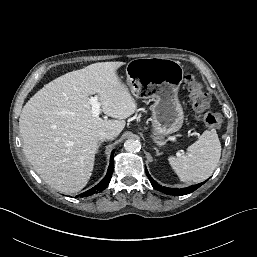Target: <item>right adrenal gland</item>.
Instances as JSON below:
<instances>
[{"mask_svg":"<svg viewBox=\"0 0 257 257\" xmlns=\"http://www.w3.org/2000/svg\"><path fill=\"white\" fill-rule=\"evenodd\" d=\"M102 142H103V141H100V142L98 143V146H97V153H98L99 147L101 146Z\"/></svg>","mask_w":257,"mask_h":257,"instance_id":"obj_1","label":"right adrenal gland"}]
</instances>
